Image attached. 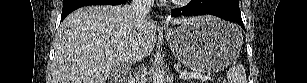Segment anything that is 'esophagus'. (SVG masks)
Returning <instances> with one entry per match:
<instances>
[{"mask_svg": "<svg viewBox=\"0 0 307 83\" xmlns=\"http://www.w3.org/2000/svg\"><path fill=\"white\" fill-rule=\"evenodd\" d=\"M159 26L162 27V28H165L166 25H165V20L163 17H160L159 19Z\"/></svg>", "mask_w": 307, "mask_h": 83, "instance_id": "esophagus-1", "label": "esophagus"}]
</instances>
